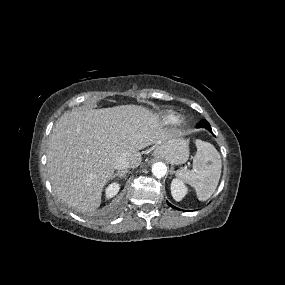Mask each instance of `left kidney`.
Here are the masks:
<instances>
[{
    "label": "left kidney",
    "mask_w": 285,
    "mask_h": 285,
    "mask_svg": "<svg viewBox=\"0 0 285 285\" xmlns=\"http://www.w3.org/2000/svg\"><path fill=\"white\" fill-rule=\"evenodd\" d=\"M187 188L178 179H173L171 183V194L176 201L182 200V198L187 194Z\"/></svg>",
    "instance_id": "obj_1"
}]
</instances>
